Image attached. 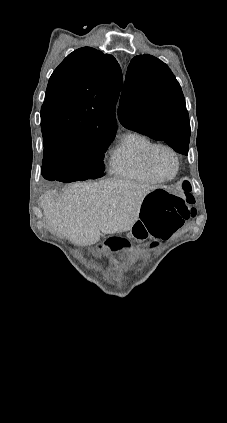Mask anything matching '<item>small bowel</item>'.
<instances>
[{
	"instance_id": "1",
	"label": "small bowel",
	"mask_w": 227,
	"mask_h": 423,
	"mask_svg": "<svg viewBox=\"0 0 227 423\" xmlns=\"http://www.w3.org/2000/svg\"><path fill=\"white\" fill-rule=\"evenodd\" d=\"M133 230L137 231V233H135L136 235L133 234L134 237L137 239H146L148 237H155L149 232L146 225L140 219L136 221L133 227Z\"/></svg>"
}]
</instances>
